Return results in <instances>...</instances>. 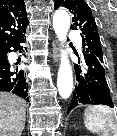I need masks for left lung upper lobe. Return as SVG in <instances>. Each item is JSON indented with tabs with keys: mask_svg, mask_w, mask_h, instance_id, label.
<instances>
[{
	"mask_svg": "<svg viewBox=\"0 0 117 136\" xmlns=\"http://www.w3.org/2000/svg\"><path fill=\"white\" fill-rule=\"evenodd\" d=\"M66 7L74 15L72 29H80L84 55H94L102 64L103 51L95 19L84 0H56L55 9Z\"/></svg>",
	"mask_w": 117,
	"mask_h": 136,
	"instance_id": "5c2ea615",
	"label": "left lung upper lobe"
}]
</instances>
